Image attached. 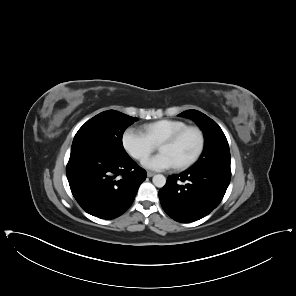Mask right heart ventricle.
Returning <instances> with one entry per match:
<instances>
[{"label": "right heart ventricle", "instance_id": "e07e8e85", "mask_svg": "<svg viewBox=\"0 0 296 296\" xmlns=\"http://www.w3.org/2000/svg\"><path fill=\"white\" fill-rule=\"evenodd\" d=\"M187 124L176 120H161L146 127V134L157 146H162L173 135L187 128Z\"/></svg>", "mask_w": 296, "mask_h": 296}]
</instances>
